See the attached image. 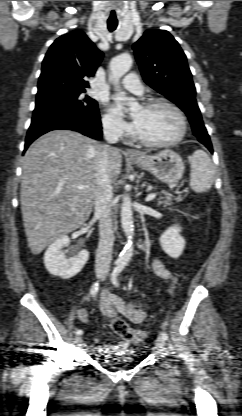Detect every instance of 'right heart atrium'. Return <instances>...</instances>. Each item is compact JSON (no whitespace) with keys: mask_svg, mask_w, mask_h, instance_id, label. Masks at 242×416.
Here are the masks:
<instances>
[{"mask_svg":"<svg viewBox=\"0 0 242 416\" xmlns=\"http://www.w3.org/2000/svg\"><path fill=\"white\" fill-rule=\"evenodd\" d=\"M102 126L110 136L123 137L127 135L125 124L111 113H105L102 118Z\"/></svg>","mask_w":242,"mask_h":416,"instance_id":"1","label":"right heart atrium"}]
</instances>
